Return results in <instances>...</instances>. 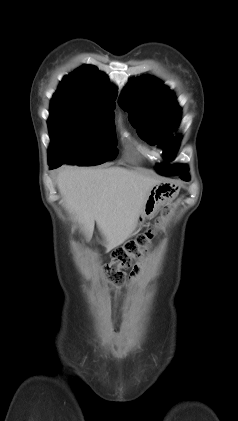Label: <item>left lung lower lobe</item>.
<instances>
[{
	"mask_svg": "<svg viewBox=\"0 0 238 421\" xmlns=\"http://www.w3.org/2000/svg\"><path fill=\"white\" fill-rule=\"evenodd\" d=\"M167 176H175V175H178V174H176L175 172H170V173H168V174H166ZM181 179H183V180H185V181H187V180H189L190 179V177H189V175L188 174H184L183 176H181Z\"/></svg>",
	"mask_w": 238,
	"mask_h": 421,
	"instance_id": "left-lung-lower-lobe-1",
	"label": "left lung lower lobe"
}]
</instances>
